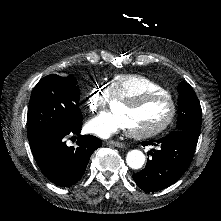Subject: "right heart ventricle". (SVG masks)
Masks as SVG:
<instances>
[{"label":"right heart ventricle","mask_w":221,"mask_h":221,"mask_svg":"<svg viewBox=\"0 0 221 221\" xmlns=\"http://www.w3.org/2000/svg\"><path fill=\"white\" fill-rule=\"evenodd\" d=\"M164 87L166 86L148 77L131 75L125 76L121 80L120 94L122 99L133 97L139 98L152 94L160 97L167 96L169 91Z\"/></svg>","instance_id":"1"}]
</instances>
